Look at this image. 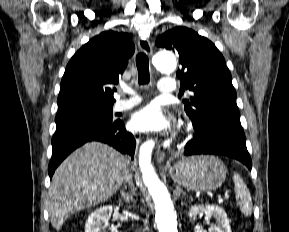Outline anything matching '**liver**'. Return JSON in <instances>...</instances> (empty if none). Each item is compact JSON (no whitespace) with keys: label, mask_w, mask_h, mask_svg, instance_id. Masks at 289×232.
<instances>
[{"label":"liver","mask_w":289,"mask_h":232,"mask_svg":"<svg viewBox=\"0 0 289 232\" xmlns=\"http://www.w3.org/2000/svg\"><path fill=\"white\" fill-rule=\"evenodd\" d=\"M130 161L112 147L86 143L56 169L49 188L48 212L59 231L68 217L108 200L120 188Z\"/></svg>","instance_id":"liver-1"}]
</instances>
